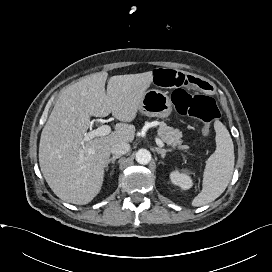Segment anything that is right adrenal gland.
I'll return each instance as SVG.
<instances>
[{
  "label": "right adrenal gland",
  "instance_id": "right-adrenal-gland-1",
  "mask_svg": "<svg viewBox=\"0 0 272 272\" xmlns=\"http://www.w3.org/2000/svg\"><path fill=\"white\" fill-rule=\"evenodd\" d=\"M119 158H120V156H113L111 159H109V160L106 162V165H105L106 171L108 170V166H109L110 163L113 164V170H114L115 161H116L117 159H119ZM113 173H114V171H112L111 174H113Z\"/></svg>",
  "mask_w": 272,
  "mask_h": 272
}]
</instances>
